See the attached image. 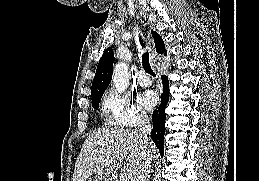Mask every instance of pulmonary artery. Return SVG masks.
I'll return each instance as SVG.
<instances>
[{"label": "pulmonary artery", "instance_id": "pulmonary-artery-1", "mask_svg": "<svg viewBox=\"0 0 259 181\" xmlns=\"http://www.w3.org/2000/svg\"><path fill=\"white\" fill-rule=\"evenodd\" d=\"M137 82L142 87H147V86H150V84H151L150 78L147 76L146 72L143 70L139 72V74L137 76Z\"/></svg>", "mask_w": 259, "mask_h": 181}]
</instances>
